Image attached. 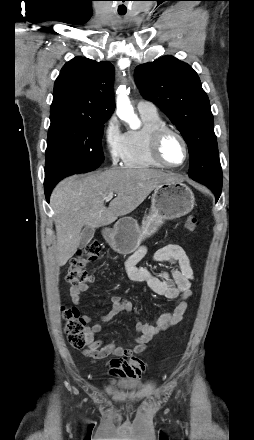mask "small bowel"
<instances>
[{"instance_id": "small-bowel-1", "label": "small bowel", "mask_w": 254, "mask_h": 440, "mask_svg": "<svg viewBox=\"0 0 254 440\" xmlns=\"http://www.w3.org/2000/svg\"><path fill=\"white\" fill-rule=\"evenodd\" d=\"M147 247H139L124 263L127 277L136 282H145L150 290L159 296L175 300L170 311L163 313L155 323L149 324L136 321V330L139 333L133 347L116 346L114 341L96 339L103 330L102 322L110 321L114 316L122 313H131L134 310L133 303L117 296L110 297L111 308L102 316L100 321L86 329L87 346L83 354L96 359L110 356L115 358L110 361L112 372L116 376L126 377L132 380L139 379L145 370L142 360L133 358L126 361L123 358L131 357L145 351L148 343L160 331L167 330L179 323L187 309V301L192 296L191 282L194 279V271L184 249L177 244H168L156 250L154 261L157 263H171L177 266L170 271H156L151 266H140V261L145 257ZM87 284L73 285L70 287L69 296L75 308L82 305V294L87 290Z\"/></svg>"}]
</instances>
